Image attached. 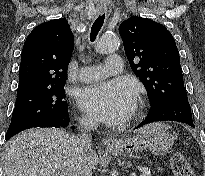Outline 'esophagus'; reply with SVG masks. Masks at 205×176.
<instances>
[{
	"mask_svg": "<svg viewBox=\"0 0 205 176\" xmlns=\"http://www.w3.org/2000/svg\"><path fill=\"white\" fill-rule=\"evenodd\" d=\"M102 12V10H101ZM101 145L103 148H111L117 145V142L112 137H105L101 141Z\"/></svg>",
	"mask_w": 205,
	"mask_h": 176,
	"instance_id": "esophagus-1",
	"label": "esophagus"
}]
</instances>
